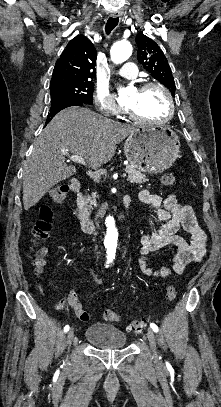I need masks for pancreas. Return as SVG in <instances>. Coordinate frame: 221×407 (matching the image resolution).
<instances>
[{
	"instance_id": "1",
	"label": "pancreas",
	"mask_w": 221,
	"mask_h": 407,
	"mask_svg": "<svg viewBox=\"0 0 221 407\" xmlns=\"http://www.w3.org/2000/svg\"><path fill=\"white\" fill-rule=\"evenodd\" d=\"M125 172L128 174L127 180L130 181L131 183H142L148 181L146 178L145 174H142L140 171H138L136 168H134L131 165H127L125 168ZM96 192L92 194V197L87 196L86 197V202L89 204L86 206V210L91 211L93 207L97 206L96 203Z\"/></svg>"
}]
</instances>
